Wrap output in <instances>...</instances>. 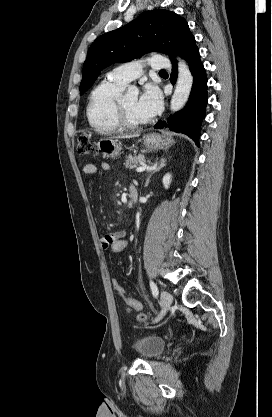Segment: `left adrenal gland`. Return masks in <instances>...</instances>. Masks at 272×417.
Wrapping results in <instances>:
<instances>
[{"label":"left adrenal gland","instance_id":"left-adrenal-gland-1","mask_svg":"<svg viewBox=\"0 0 272 417\" xmlns=\"http://www.w3.org/2000/svg\"><path fill=\"white\" fill-rule=\"evenodd\" d=\"M165 166H166V159L165 158H162L160 160L159 164L153 169V171L147 177L146 182H145V187H147L149 185L150 178L152 177V175L155 174L156 172L160 171V169H162Z\"/></svg>","mask_w":272,"mask_h":417}]
</instances>
